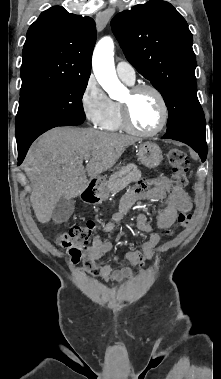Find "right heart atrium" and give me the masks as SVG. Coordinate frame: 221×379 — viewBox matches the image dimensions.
Masks as SVG:
<instances>
[{"instance_id": "1", "label": "right heart atrium", "mask_w": 221, "mask_h": 379, "mask_svg": "<svg viewBox=\"0 0 221 379\" xmlns=\"http://www.w3.org/2000/svg\"><path fill=\"white\" fill-rule=\"evenodd\" d=\"M80 103L85 117L97 127L102 125L111 108V99L93 76L84 85Z\"/></svg>"}]
</instances>
